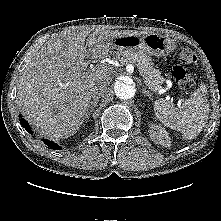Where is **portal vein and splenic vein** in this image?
Wrapping results in <instances>:
<instances>
[{
  "label": "portal vein and splenic vein",
  "mask_w": 221,
  "mask_h": 221,
  "mask_svg": "<svg viewBox=\"0 0 221 221\" xmlns=\"http://www.w3.org/2000/svg\"><path fill=\"white\" fill-rule=\"evenodd\" d=\"M158 92H159L160 94H162V93L166 92V89H163L162 87H160V88L158 89Z\"/></svg>",
  "instance_id": "1"
}]
</instances>
